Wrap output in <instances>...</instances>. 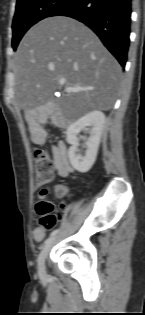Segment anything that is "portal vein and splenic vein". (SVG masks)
<instances>
[{"instance_id": "obj_1", "label": "portal vein and splenic vein", "mask_w": 145, "mask_h": 315, "mask_svg": "<svg viewBox=\"0 0 145 315\" xmlns=\"http://www.w3.org/2000/svg\"><path fill=\"white\" fill-rule=\"evenodd\" d=\"M59 84L62 86L65 84V79H61L59 81ZM93 88H86V87H75V88H66L65 91L66 92H79V91H87V90H92Z\"/></svg>"}]
</instances>
